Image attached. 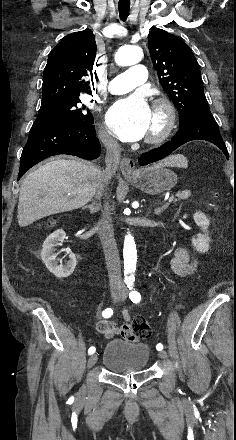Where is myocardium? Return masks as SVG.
<instances>
[{
	"mask_svg": "<svg viewBox=\"0 0 236 440\" xmlns=\"http://www.w3.org/2000/svg\"><path fill=\"white\" fill-rule=\"evenodd\" d=\"M153 113L158 117L157 127L148 133L146 141L150 144L161 143L173 132L176 124V110L167 98H157L153 102Z\"/></svg>",
	"mask_w": 236,
	"mask_h": 440,
	"instance_id": "myocardium-1",
	"label": "myocardium"
}]
</instances>
